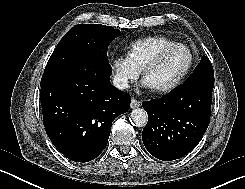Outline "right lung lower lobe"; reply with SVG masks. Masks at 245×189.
Masks as SVG:
<instances>
[{
	"label": "right lung lower lobe",
	"mask_w": 245,
	"mask_h": 189,
	"mask_svg": "<svg viewBox=\"0 0 245 189\" xmlns=\"http://www.w3.org/2000/svg\"><path fill=\"white\" fill-rule=\"evenodd\" d=\"M109 62H85L63 78L41 87L43 124L65 157L88 162L106 147L114 119L126 113L130 96L109 81Z\"/></svg>",
	"instance_id": "obj_1"
}]
</instances>
